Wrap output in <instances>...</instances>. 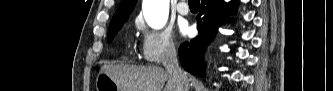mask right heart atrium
<instances>
[{"label":"right heart atrium","mask_w":333,"mask_h":91,"mask_svg":"<svg viewBox=\"0 0 333 91\" xmlns=\"http://www.w3.org/2000/svg\"><path fill=\"white\" fill-rule=\"evenodd\" d=\"M135 26L142 35L141 56L152 64H161L176 55L177 44L172 32L168 29H151L141 18H137Z\"/></svg>","instance_id":"obj_1"}]
</instances>
